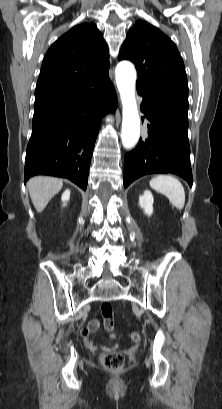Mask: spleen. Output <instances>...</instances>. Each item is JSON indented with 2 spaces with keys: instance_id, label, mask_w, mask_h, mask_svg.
Returning a JSON list of instances; mask_svg holds the SVG:
<instances>
[{
  "instance_id": "3e777b00",
  "label": "spleen",
  "mask_w": 222,
  "mask_h": 409,
  "mask_svg": "<svg viewBox=\"0 0 222 409\" xmlns=\"http://www.w3.org/2000/svg\"><path fill=\"white\" fill-rule=\"evenodd\" d=\"M150 186L165 195L171 204L181 210L185 205V191L181 182L169 175H159L150 181Z\"/></svg>"
}]
</instances>
